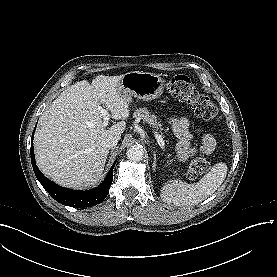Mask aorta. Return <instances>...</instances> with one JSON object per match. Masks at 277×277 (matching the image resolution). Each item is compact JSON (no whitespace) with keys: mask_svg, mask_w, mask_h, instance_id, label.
I'll use <instances>...</instances> for the list:
<instances>
[{"mask_svg":"<svg viewBox=\"0 0 277 277\" xmlns=\"http://www.w3.org/2000/svg\"><path fill=\"white\" fill-rule=\"evenodd\" d=\"M127 157L131 161H141L144 156V149L141 145H132L129 149H127Z\"/></svg>","mask_w":277,"mask_h":277,"instance_id":"obj_1","label":"aorta"}]
</instances>
